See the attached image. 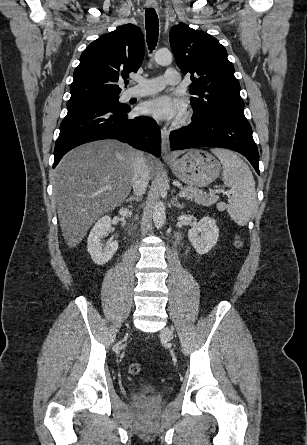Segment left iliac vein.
I'll use <instances>...</instances> for the list:
<instances>
[{
    "mask_svg": "<svg viewBox=\"0 0 307 445\" xmlns=\"http://www.w3.org/2000/svg\"><path fill=\"white\" fill-rule=\"evenodd\" d=\"M161 335L165 338H173V331L169 327H165L161 331Z\"/></svg>",
    "mask_w": 307,
    "mask_h": 445,
    "instance_id": "4c4485c4",
    "label": "left iliac vein"
}]
</instances>
